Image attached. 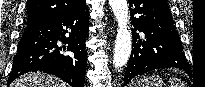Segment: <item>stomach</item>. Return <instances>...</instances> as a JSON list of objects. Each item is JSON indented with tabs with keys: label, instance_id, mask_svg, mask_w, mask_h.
<instances>
[{
	"label": "stomach",
	"instance_id": "stomach-1",
	"mask_svg": "<svg viewBox=\"0 0 205 87\" xmlns=\"http://www.w3.org/2000/svg\"><path fill=\"white\" fill-rule=\"evenodd\" d=\"M162 82V79L158 76H149L139 80L136 84V87H160Z\"/></svg>",
	"mask_w": 205,
	"mask_h": 87
}]
</instances>
